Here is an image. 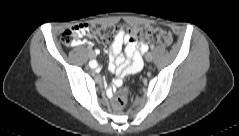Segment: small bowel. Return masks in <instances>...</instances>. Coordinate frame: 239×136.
I'll return each mask as SVG.
<instances>
[{
	"mask_svg": "<svg viewBox=\"0 0 239 136\" xmlns=\"http://www.w3.org/2000/svg\"><path fill=\"white\" fill-rule=\"evenodd\" d=\"M125 45V57L121 55V50ZM148 51V45L141 42L137 43L123 28H120L116 37L111 44V55L109 69L116 71L118 79L115 80V85L121 83L120 78L132 70L141 69L143 66V54Z\"/></svg>",
	"mask_w": 239,
	"mask_h": 136,
	"instance_id": "small-bowel-1",
	"label": "small bowel"
}]
</instances>
